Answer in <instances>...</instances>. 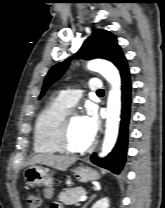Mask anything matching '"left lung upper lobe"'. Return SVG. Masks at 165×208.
Here are the masks:
<instances>
[{
  "label": "left lung upper lobe",
  "mask_w": 165,
  "mask_h": 208,
  "mask_svg": "<svg viewBox=\"0 0 165 208\" xmlns=\"http://www.w3.org/2000/svg\"><path fill=\"white\" fill-rule=\"evenodd\" d=\"M75 56L86 60L103 58L113 62L116 66L119 61L124 58L120 46L117 43V38L109 31L101 29L93 30L92 35L87 38ZM68 65L69 59L53 66L49 70L40 97L44 95L45 91L52 83L61 77L68 68Z\"/></svg>",
  "instance_id": "1"
}]
</instances>
